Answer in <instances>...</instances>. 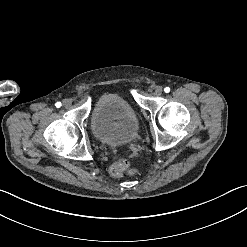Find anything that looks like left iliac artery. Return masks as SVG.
I'll list each match as a JSON object with an SVG mask.
<instances>
[{
  "mask_svg": "<svg viewBox=\"0 0 247 247\" xmlns=\"http://www.w3.org/2000/svg\"><path fill=\"white\" fill-rule=\"evenodd\" d=\"M164 91H165V93H169L170 92V88L169 87H165Z\"/></svg>",
  "mask_w": 247,
  "mask_h": 247,
  "instance_id": "44dca946",
  "label": "left iliac artery"
}]
</instances>
